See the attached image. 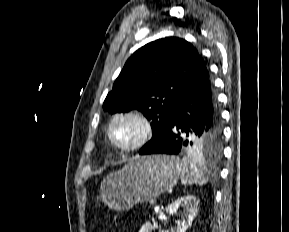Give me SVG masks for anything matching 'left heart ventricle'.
Returning a JSON list of instances; mask_svg holds the SVG:
<instances>
[{
    "instance_id": "b2bd125f",
    "label": "left heart ventricle",
    "mask_w": 289,
    "mask_h": 232,
    "mask_svg": "<svg viewBox=\"0 0 289 232\" xmlns=\"http://www.w3.org/2000/svg\"><path fill=\"white\" fill-rule=\"evenodd\" d=\"M140 133V125L130 118L117 121L113 127L114 139L123 145L133 143L140 136Z\"/></svg>"
}]
</instances>
